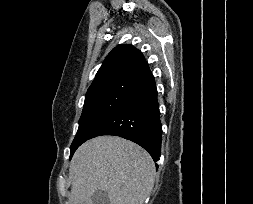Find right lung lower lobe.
I'll return each instance as SVG.
<instances>
[{
    "label": "right lung lower lobe",
    "mask_w": 253,
    "mask_h": 204,
    "mask_svg": "<svg viewBox=\"0 0 253 204\" xmlns=\"http://www.w3.org/2000/svg\"><path fill=\"white\" fill-rule=\"evenodd\" d=\"M101 135H115L131 140L147 150L155 162L159 160L162 126L157 89L152 73L137 84L95 130L91 138Z\"/></svg>",
    "instance_id": "98d812e1"
}]
</instances>
